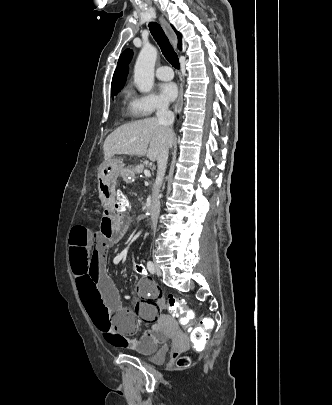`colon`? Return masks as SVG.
I'll list each match as a JSON object with an SVG mask.
<instances>
[{
  "label": "colon",
  "mask_w": 332,
  "mask_h": 405,
  "mask_svg": "<svg viewBox=\"0 0 332 405\" xmlns=\"http://www.w3.org/2000/svg\"><path fill=\"white\" fill-rule=\"evenodd\" d=\"M116 191V203L113 205V210H118L123 212V214H128L130 212L133 201L128 199V197L121 191ZM133 271L135 273H140L142 278L147 276L145 272V262L144 261H135ZM76 287V284H75ZM167 306L169 310L179 319V323L183 324L185 328H192L194 325V316L192 311L188 307H185L181 301L174 296H167ZM200 325L196 327L191 333V340L196 346H201L206 343L209 335V324L212 323L211 315H200L199 316ZM177 357V364L179 366H185L188 364V359L183 356H179V353H175Z\"/></svg>",
  "instance_id": "colon-1"
}]
</instances>
